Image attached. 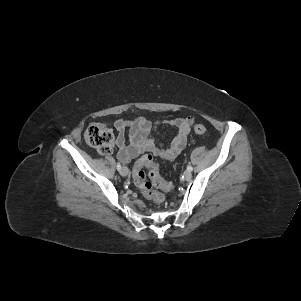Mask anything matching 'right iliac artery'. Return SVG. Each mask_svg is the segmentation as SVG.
<instances>
[{
    "mask_svg": "<svg viewBox=\"0 0 301 301\" xmlns=\"http://www.w3.org/2000/svg\"><path fill=\"white\" fill-rule=\"evenodd\" d=\"M117 170L120 171L121 170V164L118 162L117 163Z\"/></svg>",
    "mask_w": 301,
    "mask_h": 301,
    "instance_id": "1",
    "label": "right iliac artery"
}]
</instances>
